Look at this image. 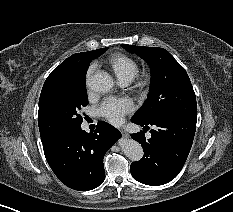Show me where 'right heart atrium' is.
Here are the masks:
<instances>
[{"instance_id": "obj_1", "label": "right heart atrium", "mask_w": 233, "mask_h": 212, "mask_svg": "<svg viewBox=\"0 0 233 212\" xmlns=\"http://www.w3.org/2000/svg\"><path fill=\"white\" fill-rule=\"evenodd\" d=\"M93 71H94V67L93 66H90L89 69L87 70V73H86V86L89 88L90 86V82H91V76L93 74Z\"/></svg>"}]
</instances>
